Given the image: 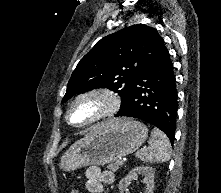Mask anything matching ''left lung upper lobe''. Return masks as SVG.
Instances as JSON below:
<instances>
[{
  "label": "left lung upper lobe",
  "mask_w": 221,
  "mask_h": 193,
  "mask_svg": "<svg viewBox=\"0 0 221 193\" xmlns=\"http://www.w3.org/2000/svg\"><path fill=\"white\" fill-rule=\"evenodd\" d=\"M166 49L157 30L144 24L125 27L100 41L80 60L62 103L95 88H108L128 98L136 77Z\"/></svg>",
  "instance_id": "5c2ea615"
}]
</instances>
